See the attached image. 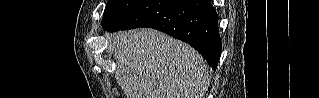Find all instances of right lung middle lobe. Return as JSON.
<instances>
[{
    "label": "right lung middle lobe",
    "mask_w": 319,
    "mask_h": 98,
    "mask_svg": "<svg viewBox=\"0 0 319 98\" xmlns=\"http://www.w3.org/2000/svg\"><path fill=\"white\" fill-rule=\"evenodd\" d=\"M148 0H108L103 20V28L111 26L142 6Z\"/></svg>",
    "instance_id": "dd1d6c3e"
}]
</instances>
